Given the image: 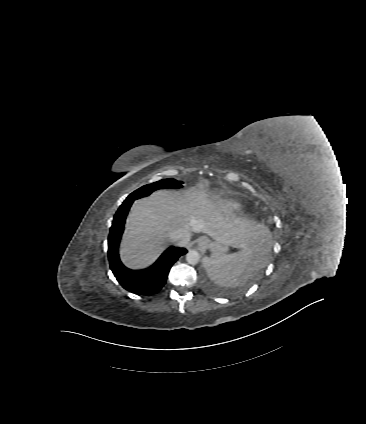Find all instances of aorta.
I'll list each match as a JSON object with an SVG mask.
<instances>
[{
  "mask_svg": "<svg viewBox=\"0 0 366 424\" xmlns=\"http://www.w3.org/2000/svg\"><path fill=\"white\" fill-rule=\"evenodd\" d=\"M186 261L191 265H196L200 261V254L195 250H190L186 254Z\"/></svg>",
  "mask_w": 366,
  "mask_h": 424,
  "instance_id": "aorta-1",
  "label": "aorta"
}]
</instances>
